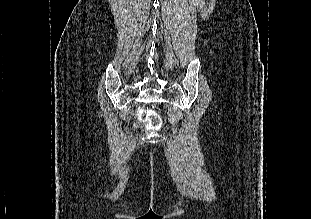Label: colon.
I'll return each mask as SVG.
<instances>
[{
    "mask_svg": "<svg viewBox=\"0 0 311 219\" xmlns=\"http://www.w3.org/2000/svg\"><path fill=\"white\" fill-rule=\"evenodd\" d=\"M138 117L147 123L149 130H157L161 126V118L159 114L151 109H139Z\"/></svg>",
    "mask_w": 311,
    "mask_h": 219,
    "instance_id": "colon-1",
    "label": "colon"
}]
</instances>
